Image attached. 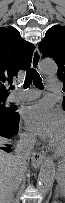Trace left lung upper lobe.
<instances>
[{
    "instance_id": "left-lung-upper-lobe-1",
    "label": "left lung upper lobe",
    "mask_w": 65,
    "mask_h": 203,
    "mask_svg": "<svg viewBox=\"0 0 65 203\" xmlns=\"http://www.w3.org/2000/svg\"><path fill=\"white\" fill-rule=\"evenodd\" d=\"M44 57H51L58 65V77L64 81L65 91V26L55 25L50 28L38 45ZM63 108L65 110V97Z\"/></svg>"
}]
</instances>
